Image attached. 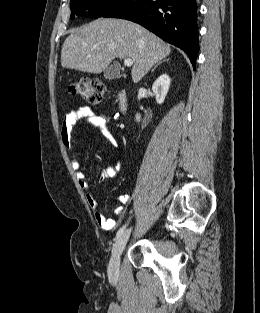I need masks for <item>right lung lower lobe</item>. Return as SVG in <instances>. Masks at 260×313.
Masks as SVG:
<instances>
[{
  "mask_svg": "<svg viewBox=\"0 0 260 313\" xmlns=\"http://www.w3.org/2000/svg\"><path fill=\"white\" fill-rule=\"evenodd\" d=\"M196 0H124L103 17L136 22L184 50L195 66L198 52Z\"/></svg>",
  "mask_w": 260,
  "mask_h": 313,
  "instance_id": "98d812e1",
  "label": "right lung lower lobe"
}]
</instances>
